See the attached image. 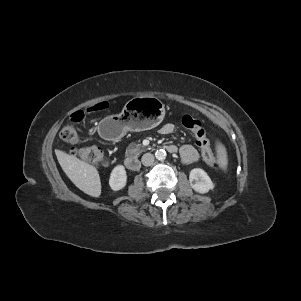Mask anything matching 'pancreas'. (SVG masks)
I'll return each mask as SVG.
<instances>
[{
	"label": "pancreas",
	"instance_id": "pancreas-1",
	"mask_svg": "<svg viewBox=\"0 0 301 301\" xmlns=\"http://www.w3.org/2000/svg\"><path fill=\"white\" fill-rule=\"evenodd\" d=\"M145 151L144 147L141 144L132 143L126 149V155H139Z\"/></svg>",
	"mask_w": 301,
	"mask_h": 301
}]
</instances>
